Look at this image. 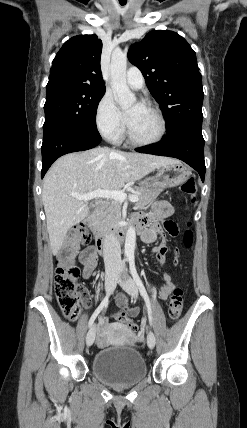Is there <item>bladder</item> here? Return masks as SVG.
<instances>
[{
	"label": "bladder",
	"mask_w": 247,
	"mask_h": 428,
	"mask_svg": "<svg viewBox=\"0 0 247 428\" xmlns=\"http://www.w3.org/2000/svg\"><path fill=\"white\" fill-rule=\"evenodd\" d=\"M92 373L109 385L126 386L142 380L147 367L136 349L114 346L96 353L92 361Z\"/></svg>",
	"instance_id": "bladder-1"
}]
</instances>
